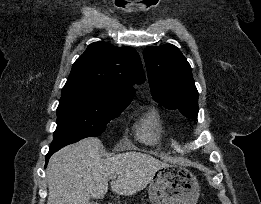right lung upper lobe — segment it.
Segmentation results:
<instances>
[{
  "mask_svg": "<svg viewBox=\"0 0 261 204\" xmlns=\"http://www.w3.org/2000/svg\"><path fill=\"white\" fill-rule=\"evenodd\" d=\"M144 79L135 49L95 42L73 64L61 96L88 93L103 102H131L135 94L131 85Z\"/></svg>",
  "mask_w": 261,
  "mask_h": 204,
  "instance_id": "right-lung-upper-lobe-1",
  "label": "right lung upper lobe"
}]
</instances>
